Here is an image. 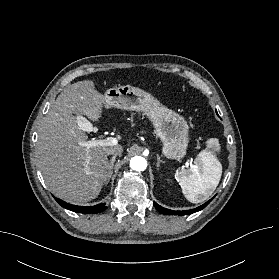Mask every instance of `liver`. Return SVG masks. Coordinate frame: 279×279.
I'll list each match as a JSON object with an SVG mask.
<instances>
[{"label":"liver","instance_id":"1","mask_svg":"<svg viewBox=\"0 0 279 279\" xmlns=\"http://www.w3.org/2000/svg\"><path fill=\"white\" fill-rule=\"evenodd\" d=\"M105 98L95 90L92 80L71 84L59 94L38 129L36 157L46 185L57 197L68 202L85 203L95 199L107 178L111 147L86 149L81 142L88 139L79 126L82 122H98Z\"/></svg>","mask_w":279,"mask_h":279}]
</instances>
